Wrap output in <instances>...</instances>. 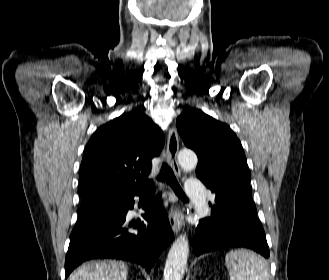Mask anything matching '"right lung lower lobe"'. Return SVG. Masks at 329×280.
<instances>
[{
    "label": "right lung lower lobe",
    "instance_id": "right-lung-lower-lobe-1",
    "mask_svg": "<svg viewBox=\"0 0 329 280\" xmlns=\"http://www.w3.org/2000/svg\"><path fill=\"white\" fill-rule=\"evenodd\" d=\"M134 196L143 198V221H128ZM173 233L160 195L148 186L101 194L82 206L70 236L65 259V277L82 262L116 258L138 263L150 272Z\"/></svg>",
    "mask_w": 329,
    "mask_h": 280
}]
</instances>
